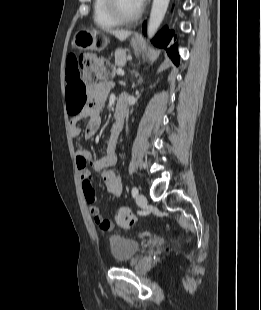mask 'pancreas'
<instances>
[{"label":"pancreas","instance_id":"cf45deb5","mask_svg":"<svg viewBox=\"0 0 261 310\" xmlns=\"http://www.w3.org/2000/svg\"><path fill=\"white\" fill-rule=\"evenodd\" d=\"M126 52L125 50L118 49L115 51V65L118 67H123L126 64Z\"/></svg>","mask_w":261,"mask_h":310}]
</instances>
